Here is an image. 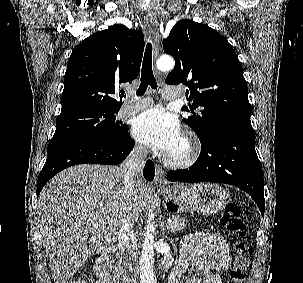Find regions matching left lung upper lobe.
<instances>
[{
	"mask_svg": "<svg viewBox=\"0 0 303 283\" xmlns=\"http://www.w3.org/2000/svg\"><path fill=\"white\" fill-rule=\"evenodd\" d=\"M175 59L166 83L188 86L191 115L183 121L205 141L216 128L251 126V104L242 66L228 40L208 25L178 21L163 41ZM195 108H199L195 111ZM183 111L189 112L184 106Z\"/></svg>",
	"mask_w": 303,
	"mask_h": 283,
	"instance_id": "1",
	"label": "left lung upper lobe"
}]
</instances>
